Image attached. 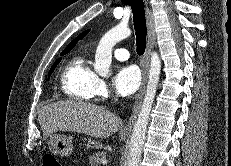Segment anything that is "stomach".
Here are the masks:
<instances>
[{"label": "stomach", "instance_id": "obj_1", "mask_svg": "<svg viewBox=\"0 0 231 166\" xmlns=\"http://www.w3.org/2000/svg\"><path fill=\"white\" fill-rule=\"evenodd\" d=\"M125 140L126 137H121ZM49 149L55 155L61 157H68L72 154V138L66 135H51L48 141Z\"/></svg>", "mask_w": 231, "mask_h": 166}]
</instances>
